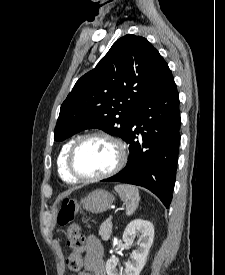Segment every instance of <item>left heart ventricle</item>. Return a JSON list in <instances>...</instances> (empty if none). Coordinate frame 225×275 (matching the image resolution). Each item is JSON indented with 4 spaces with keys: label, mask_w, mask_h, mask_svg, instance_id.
Here are the masks:
<instances>
[{
    "label": "left heart ventricle",
    "mask_w": 225,
    "mask_h": 275,
    "mask_svg": "<svg viewBox=\"0 0 225 275\" xmlns=\"http://www.w3.org/2000/svg\"><path fill=\"white\" fill-rule=\"evenodd\" d=\"M116 159V148L111 142L94 138L85 141L79 147L74 158V166L81 175H99L111 170Z\"/></svg>",
    "instance_id": "1"
}]
</instances>
